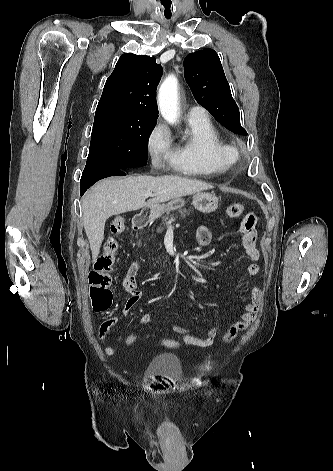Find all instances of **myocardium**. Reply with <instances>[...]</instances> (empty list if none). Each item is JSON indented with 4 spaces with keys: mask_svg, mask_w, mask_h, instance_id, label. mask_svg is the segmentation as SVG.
Instances as JSON below:
<instances>
[{
    "mask_svg": "<svg viewBox=\"0 0 333 471\" xmlns=\"http://www.w3.org/2000/svg\"><path fill=\"white\" fill-rule=\"evenodd\" d=\"M232 155H234V156H235V155H236V153H233V152H232Z\"/></svg>",
    "mask_w": 333,
    "mask_h": 471,
    "instance_id": "obj_1",
    "label": "myocardium"
}]
</instances>
